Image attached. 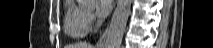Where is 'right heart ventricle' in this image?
Here are the masks:
<instances>
[{
	"label": "right heart ventricle",
	"instance_id": "1",
	"mask_svg": "<svg viewBox=\"0 0 213 48\" xmlns=\"http://www.w3.org/2000/svg\"><path fill=\"white\" fill-rule=\"evenodd\" d=\"M86 14L85 10L77 6L73 0L67 3L63 18V28L68 36L80 39L88 34L90 25L86 20Z\"/></svg>",
	"mask_w": 213,
	"mask_h": 48
}]
</instances>
